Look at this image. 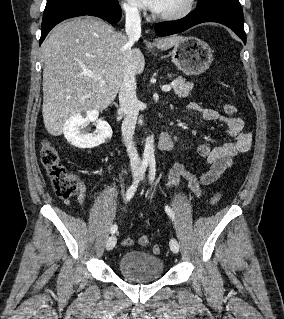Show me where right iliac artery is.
Masks as SVG:
<instances>
[{
    "label": "right iliac artery",
    "instance_id": "82829eb1",
    "mask_svg": "<svg viewBox=\"0 0 284 319\" xmlns=\"http://www.w3.org/2000/svg\"><path fill=\"white\" fill-rule=\"evenodd\" d=\"M148 163H149V160L148 159H144L142 161V164H141V167H140V171H139V176L135 179V181L133 182V184L129 187V189L127 190V193H126V197H125V200L126 201H129L135 194L136 190H137V187H138V184L143 176V174L145 173L147 167H148ZM111 234H114L116 231H117V225L114 224L112 227H111Z\"/></svg>",
    "mask_w": 284,
    "mask_h": 319
}]
</instances>
